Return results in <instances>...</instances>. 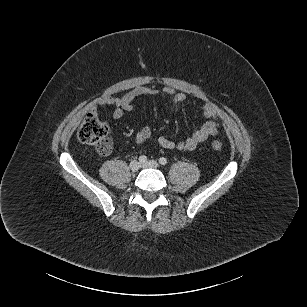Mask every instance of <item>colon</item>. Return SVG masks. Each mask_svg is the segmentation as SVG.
Returning <instances> with one entry per match:
<instances>
[{"label":"colon","mask_w":307,"mask_h":307,"mask_svg":"<svg viewBox=\"0 0 307 307\" xmlns=\"http://www.w3.org/2000/svg\"><path fill=\"white\" fill-rule=\"evenodd\" d=\"M77 136L81 143L94 146L101 155H107L112 151L113 141L109 130L93 113H89L86 116L78 129ZM212 147L214 150L220 151L222 149V143L214 140Z\"/></svg>","instance_id":"5ec220e1"}]
</instances>
